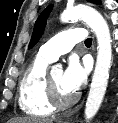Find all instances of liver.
<instances>
[{
    "label": "liver",
    "mask_w": 118,
    "mask_h": 123,
    "mask_svg": "<svg viewBox=\"0 0 118 123\" xmlns=\"http://www.w3.org/2000/svg\"><path fill=\"white\" fill-rule=\"evenodd\" d=\"M8 123H53V120L25 117L12 119Z\"/></svg>",
    "instance_id": "liver-1"
}]
</instances>
